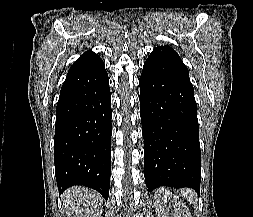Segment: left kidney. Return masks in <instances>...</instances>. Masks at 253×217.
I'll return each mask as SVG.
<instances>
[{
    "mask_svg": "<svg viewBox=\"0 0 253 217\" xmlns=\"http://www.w3.org/2000/svg\"><path fill=\"white\" fill-rule=\"evenodd\" d=\"M154 200L158 217H192L187 206L169 190L159 189Z\"/></svg>",
    "mask_w": 253,
    "mask_h": 217,
    "instance_id": "1",
    "label": "left kidney"
}]
</instances>
